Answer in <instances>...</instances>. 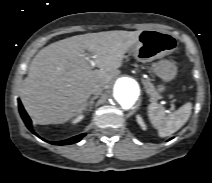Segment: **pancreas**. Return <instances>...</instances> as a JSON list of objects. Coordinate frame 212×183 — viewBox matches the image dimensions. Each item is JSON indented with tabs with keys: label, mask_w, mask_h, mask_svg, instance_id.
Wrapping results in <instances>:
<instances>
[{
	"label": "pancreas",
	"mask_w": 212,
	"mask_h": 183,
	"mask_svg": "<svg viewBox=\"0 0 212 183\" xmlns=\"http://www.w3.org/2000/svg\"><path fill=\"white\" fill-rule=\"evenodd\" d=\"M144 85L146 88V92L151 96L153 100H156L159 98V94L156 91L155 87L150 82V80L145 81Z\"/></svg>",
	"instance_id": "pancreas-1"
}]
</instances>
